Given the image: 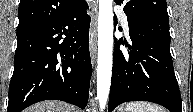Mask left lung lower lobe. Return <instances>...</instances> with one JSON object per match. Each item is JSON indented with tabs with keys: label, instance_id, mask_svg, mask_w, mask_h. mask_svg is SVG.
<instances>
[{
	"label": "left lung lower lobe",
	"instance_id": "0a47b994",
	"mask_svg": "<svg viewBox=\"0 0 193 112\" xmlns=\"http://www.w3.org/2000/svg\"><path fill=\"white\" fill-rule=\"evenodd\" d=\"M128 54L115 39L108 112L129 101H150L182 112L181 95L170 53L168 17L129 22Z\"/></svg>",
	"mask_w": 193,
	"mask_h": 112
}]
</instances>
